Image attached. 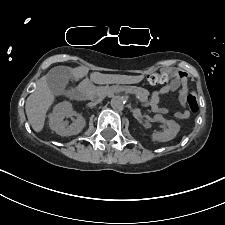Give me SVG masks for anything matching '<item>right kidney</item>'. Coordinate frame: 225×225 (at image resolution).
<instances>
[{"mask_svg": "<svg viewBox=\"0 0 225 225\" xmlns=\"http://www.w3.org/2000/svg\"><path fill=\"white\" fill-rule=\"evenodd\" d=\"M76 116V120L70 126L64 122V118ZM86 122L82 115L72 109L70 102H61L57 104L49 116V127L61 136H72L79 134L85 127Z\"/></svg>", "mask_w": 225, "mask_h": 225, "instance_id": "right-kidney-1", "label": "right kidney"}]
</instances>
